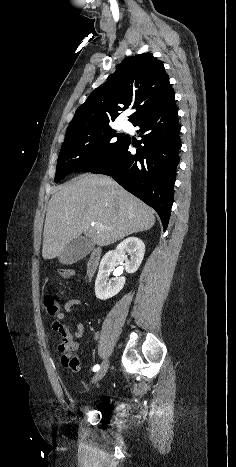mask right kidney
<instances>
[{"label": "right kidney", "mask_w": 236, "mask_h": 467, "mask_svg": "<svg viewBox=\"0 0 236 467\" xmlns=\"http://www.w3.org/2000/svg\"><path fill=\"white\" fill-rule=\"evenodd\" d=\"M145 254V245L137 237L123 240L115 250L107 252L99 266L95 282V295L100 300H106L117 295L124 287L125 277L120 276L122 271H114V278L109 279L111 272L121 262L127 273H134L139 268ZM130 255L128 259L127 256Z\"/></svg>", "instance_id": "right-kidney-1"}]
</instances>
